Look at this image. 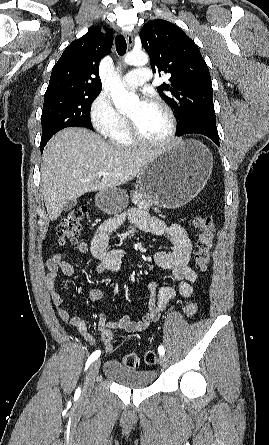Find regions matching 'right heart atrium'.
<instances>
[{
	"label": "right heart atrium",
	"instance_id": "1",
	"mask_svg": "<svg viewBox=\"0 0 269 445\" xmlns=\"http://www.w3.org/2000/svg\"><path fill=\"white\" fill-rule=\"evenodd\" d=\"M89 115L93 127L101 134H107L123 120L111 98L103 92L92 101Z\"/></svg>",
	"mask_w": 269,
	"mask_h": 445
}]
</instances>
